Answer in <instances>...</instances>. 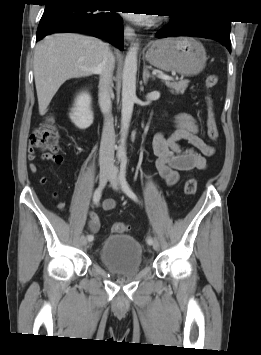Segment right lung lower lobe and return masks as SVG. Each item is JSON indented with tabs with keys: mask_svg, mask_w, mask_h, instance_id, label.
I'll return each mask as SVG.
<instances>
[{
	"mask_svg": "<svg viewBox=\"0 0 261 355\" xmlns=\"http://www.w3.org/2000/svg\"><path fill=\"white\" fill-rule=\"evenodd\" d=\"M36 41L50 33H85L123 49V21L114 12L102 11L89 0H45Z\"/></svg>",
	"mask_w": 261,
	"mask_h": 355,
	"instance_id": "right-lung-lower-lobe-1",
	"label": "right lung lower lobe"
}]
</instances>
